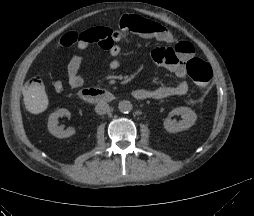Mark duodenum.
<instances>
[{
  "label": "duodenum",
  "instance_id": "1",
  "mask_svg": "<svg viewBox=\"0 0 254 216\" xmlns=\"http://www.w3.org/2000/svg\"><path fill=\"white\" fill-rule=\"evenodd\" d=\"M79 96L88 102H110L114 99L111 92L100 88H85L80 91Z\"/></svg>",
  "mask_w": 254,
  "mask_h": 216
}]
</instances>
